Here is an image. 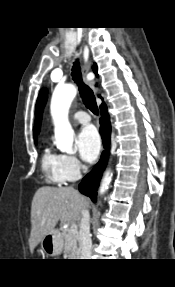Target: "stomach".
Segmentation results:
<instances>
[{
    "label": "stomach",
    "mask_w": 175,
    "mask_h": 287,
    "mask_svg": "<svg viewBox=\"0 0 175 287\" xmlns=\"http://www.w3.org/2000/svg\"><path fill=\"white\" fill-rule=\"evenodd\" d=\"M42 250L49 256H56L62 252L63 237L59 230L53 229L41 240Z\"/></svg>",
    "instance_id": "obj_1"
}]
</instances>
